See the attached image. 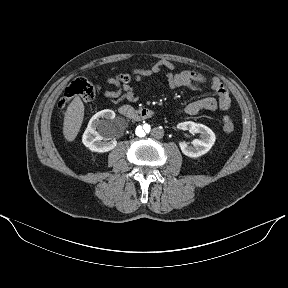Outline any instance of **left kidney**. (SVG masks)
Masks as SVG:
<instances>
[{"instance_id": "left-kidney-1", "label": "left kidney", "mask_w": 288, "mask_h": 288, "mask_svg": "<svg viewBox=\"0 0 288 288\" xmlns=\"http://www.w3.org/2000/svg\"><path fill=\"white\" fill-rule=\"evenodd\" d=\"M177 128L188 130L190 133L200 134V139H194L193 145H188L185 142L179 143L182 153L188 157L197 158L206 154L215 143V133L203 124L187 121L179 123Z\"/></svg>"}]
</instances>
